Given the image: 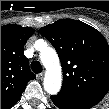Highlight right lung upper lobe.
<instances>
[{"label": "right lung upper lobe", "mask_w": 109, "mask_h": 109, "mask_svg": "<svg viewBox=\"0 0 109 109\" xmlns=\"http://www.w3.org/2000/svg\"><path fill=\"white\" fill-rule=\"evenodd\" d=\"M31 27L9 24L1 27V109L21 95L35 78L24 55V44L32 36Z\"/></svg>", "instance_id": "obj_1"}]
</instances>
